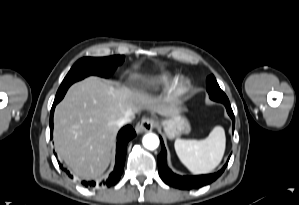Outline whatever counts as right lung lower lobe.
Here are the masks:
<instances>
[{"label": "right lung lower lobe", "mask_w": 299, "mask_h": 205, "mask_svg": "<svg viewBox=\"0 0 299 205\" xmlns=\"http://www.w3.org/2000/svg\"><path fill=\"white\" fill-rule=\"evenodd\" d=\"M59 101H54L51 114H50V132H51V138H52V130H53V113L56 104ZM136 135L134 129L127 125L123 127L117 136V149H116V163L114 167V171L109 175V177L105 180H102L99 183V186L101 187H110L112 185H115L123 173L124 163H125V156L127 151V144L130 139H132ZM62 167V166H61ZM85 187H94L96 186L95 181H82L81 182Z\"/></svg>", "instance_id": "right-lung-lower-lobe-1"}]
</instances>
